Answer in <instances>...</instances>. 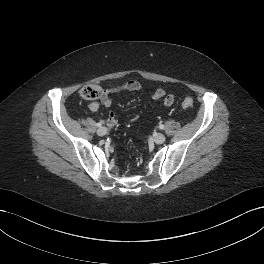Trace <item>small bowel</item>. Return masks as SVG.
<instances>
[{"instance_id":"obj_1","label":"small bowel","mask_w":264,"mask_h":264,"mask_svg":"<svg viewBox=\"0 0 264 264\" xmlns=\"http://www.w3.org/2000/svg\"><path fill=\"white\" fill-rule=\"evenodd\" d=\"M144 88L142 82L138 80H128L122 83H119L106 90L105 95L99 102H92L88 105L91 111H96L102 105L104 107H109L111 105V96L117 93L126 92V91H140ZM150 96L155 100H163V107L170 108L174 103V96L172 94H167L163 88H158L150 92ZM116 115L114 111H110L107 124L109 126L116 125Z\"/></svg>"}]
</instances>
